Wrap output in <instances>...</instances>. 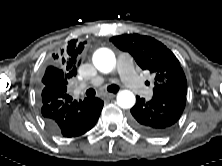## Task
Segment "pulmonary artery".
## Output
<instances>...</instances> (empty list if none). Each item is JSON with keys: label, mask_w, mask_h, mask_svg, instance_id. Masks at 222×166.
Returning a JSON list of instances; mask_svg holds the SVG:
<instances>
[{"label": "pulmonary artery", "mask_w": 222, "mask_h": 166, "mask_svg": "<svg viewBox=\"0 0 222 166\" xmlns=\"http://www.w3.org/2000/svg\"><path fill=\"white\" fill-rule=\"evenodd\" d=\"M117 70L123 83L132 89L135 93L147 95L150 92L149 89L143 84L140 77L137 75L134 69L133 59L129 55H120L117 61ZM103 81V77L97 76L93 78L90 83L92 85L98 86L102 84ZM86 87V84H80L77 87V91L81 92Z\"/></svg>", "instance_id": "obj_1"}]
</instances>
